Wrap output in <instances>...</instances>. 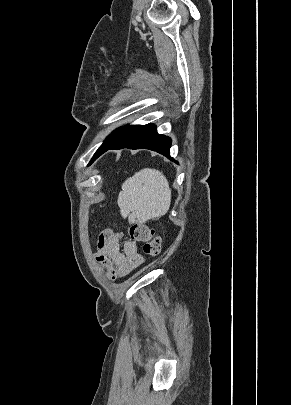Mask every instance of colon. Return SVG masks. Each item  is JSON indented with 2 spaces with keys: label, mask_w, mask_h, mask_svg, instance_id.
Wrapping results in <instances>:
<instances>
[{
  "label": "colon",
  "mask_w": 291,
  "mask_h": 405,
  "mask_svg": "<svg viewBox=\"0 0 291 405\" xmlns=\"http://www.w3.org/2000/svg\"><path fill=\"white\" fill-rule=\"evenodd\" d=\"M130 237L143 244V252L150 257H156L161 252V238L154 228L144 224H131L128 227Z\"/></svg>",
  "instance_id": "1"
}]
</instances>
